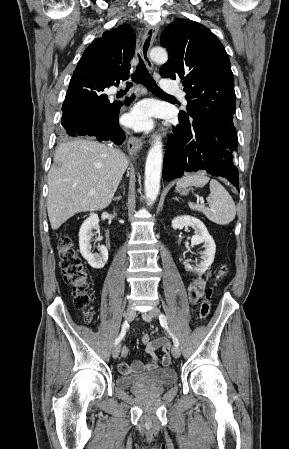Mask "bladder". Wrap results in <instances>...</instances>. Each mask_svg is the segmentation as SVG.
<instances>
[{
  "label": "bladder",
  "instance_id": "31cf9c89",
  "mask_svg": "<svg viewBox=\"0 0 289 449\" xmlns=\"http://www.w3.org/2000/svg\"><path fill=\"white\" fill-rule=\"evenodd\" d=\"M177 381V373L173 368H159L137 375L118 376L116 386L128 390L132 388L169 387Z\"/></svg>",
  "mask_w": 289,
  "mask_h": 449
}]
</instances>
